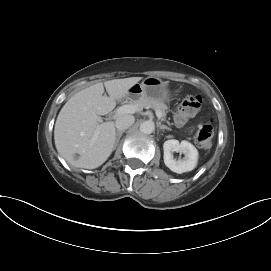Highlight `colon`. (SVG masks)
<instances>
[{"label":"colon","mask_w":271,"mask_h":271,"mask_svg":"<svg viewBox=\"0 0 271 271\" xmlns=\"http://www.w3.org/2000/svg\"><path fill=\"white\" fill-rule=\"evenodd\" d=\"M201 106V98L195 95H186L180 106L175 113V122L183 126L185 125L193 116L197 114ZM213 126L210 120L202 121L196 131V143L197 145L205 150H208L212 146L213 141Z\"/></svg>","instance_id":"colon-1"}]
</instances>
